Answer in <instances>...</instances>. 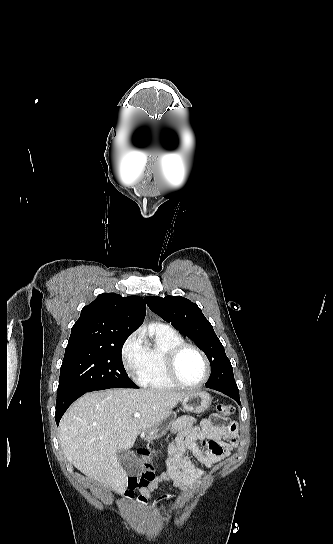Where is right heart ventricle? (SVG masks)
<instances>
[{
	"label": "right heart ventricle",
	"instance_id": "e07e8e85",
	"mask_svg": "<svg viewBox=\"0 0 333 544\" xmlns=\"http://www.w3.org/2000/svg\"><path fill=\"white\" fill-rule=\"evenodd\" d=\"M184 342L183 337L174 329L164 325H153L147 338L142 341L138 383L151 389H173L175 385L167 376L165 357L174 346Z\"/></svg>",
	"mask_w": 333,
	"mask_h": 544
}]
</instances>
